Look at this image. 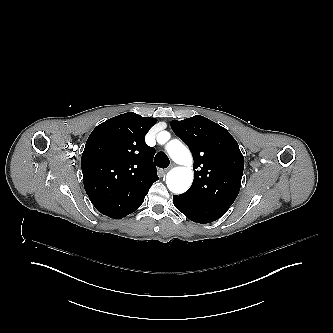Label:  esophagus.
<instances>
[{"label":"esophagus","mask_w":333,"mask_h":333,"mask_svg":"<svg viewBox=\"0 0 333 333\" xmlns=\"http://www.w3.org/2000/svg\"><path fill=\"white\" fill-rule=\"evenodd\" d=\"M176 166V164H171L168 168H166L165 170H163V172L162 173H167L169 170H171L173 167H175Z\"/></svg>","instance_id":"34e87169"}]
</instances>
